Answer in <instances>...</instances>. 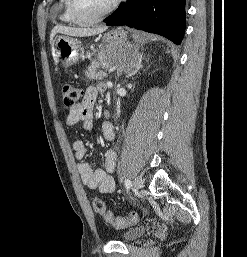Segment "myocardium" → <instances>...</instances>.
Instances as JSON below:
<instances>
[{"label":"myocardium","instance_id":"myocardium-1","mask_svg":"<svg viewBox=\"0 0 247 257\" xmlns=\"http://www.w3.org/2000/svg\"><path fill=\"white\" fill-rule=\"evenodd\" d=\"M121 1L122 0H113L111 4L103 12L93 17H84L80 14L77 7V0H69V9L76 23L80 25H91L101 21L102 19L110 15L112 12H114L121 3Z\"/></svg>","mask_w":247,"mask_h":257}]
</instances>
